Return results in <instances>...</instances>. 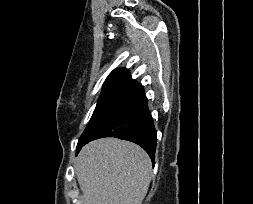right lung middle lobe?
Masks as SVG:
<instances>
[{"label":"right lung middle lobe","mask_w":253,"mask_h":204,"mask_svg":"<svg viewBox=\"0 0 253 204\" xmlns=\"http://www.w3.org/2000/svg\"><path fill=\"white\" fill-rule=\"evenodd\" d=\"M140 84L124 82L106 85L103 87L93 115L79 138L77 150L89 139L93 131L132 93Z\"/></svg>","instance_id":"1"}]
</instances>
